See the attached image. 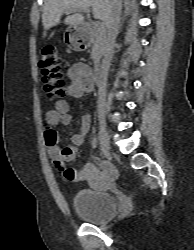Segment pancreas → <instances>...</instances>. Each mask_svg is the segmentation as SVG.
I'll list each match as a JSON object with an SVG mask.
<instances>
[{
	"label": "pancreas",
	"mask_w": 194,
	"mask_h": 250,
	"mask_svg": "<svg viewBox=\"0 0 194 250\" xmlns=\"http://www.w3.org/2000/svg\"><path fill=\"white\" fill-rule=\"evenodd\" d=\"M93 46L91 51V59L97 63L102 57L105 46V32L102 29H95L92 32Z\"/></svg>",
	"instance_id": "cf45deb5"
}]
</instances>
